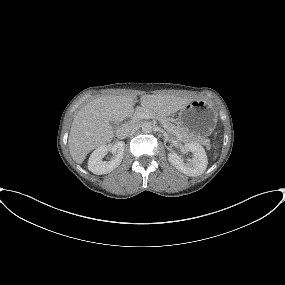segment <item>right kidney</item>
Segmentation results:
<instances>
[{"label":"right kidney","mask_w":285,"mask_h":285,"mask_svg":"<svg viewBox=\"0 0 285 285\" xmlns=\"http://www.w3.org/2000/svg\"><path fill=\"white\" fill-rule=\"evenodd\" d=\"M125 144L117 142L112 146L102 145L98 147L89 157L88 169L96 175L107 174L117 168L123 159ZM108 152L112 153L109 161H104L103 158Z\"/></svg>","instance_id":"ca27d5eb"}]
</instances>
